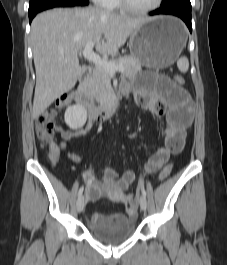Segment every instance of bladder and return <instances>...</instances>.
<instances>
[{
	"label": "bladder",
	"mask_w": 227,
	"mask_h": 265,
	"mask_svg": "<svg viewBox=\"0 0 227 265\" xmlns=\"http://www.w3.org/2000/svg\"><path fill=\"white\" fill-rule=\"evenodd\" d=\"M88 229L98 240L108 244H115L130 238L134 234L136 227L135 221L129 218L120 224L111 226H99L90 223Z\"/></svg>",
	"instance_id": "bladder-1"
}]
</instances>
